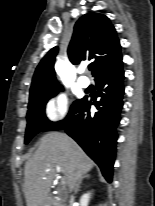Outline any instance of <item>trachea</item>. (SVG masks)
I'll return each mask as SVG.
<instances>
[{
	"instance_id": "obj_1",
	"label": "trachea",
	"mask_w": 155,
	"mask_h": 206,
	"mask_svg": "<svg viewBox=\"0 0 155 206\" xmlns=\"http://www.w3.org/2000/svg\"><path fill=\"white\" fill-rule=\"evenodd\" d=\"M89 70H90V71L92 70V67H91V66L89 67Z\"/></svg>"
}]
</instances>
